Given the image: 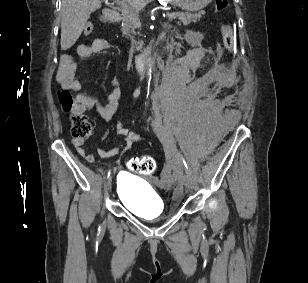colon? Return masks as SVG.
Wrapping results in <instances>:
<instances>
[{
    "mask_svg": "<svg viewBox=\"0 0 308 283\" xmlns=\"http://www.w3.org/2000/svg\"><path fill=\"white\" fill-rule=\"evenodd\" d=\"M228 8V0H216L215 9L217 13H223ZM93 31V25L87 23L84 26L83 33L89 35ZM223 45L225 49L232 53L235 50V32L229 21L223 23ZM58 100L62 109L71 113V134L76 139H86L92 132V125L88 118L79 112H75L77 106L76 98L67 90L58 91ZM129 166L135 172L143 175H149L156 169L155 160L148 155L134 157L129 161Z\"/></svg>",
    "mask_w": 308,
    "mask_h": 283,
    "instance_id": "obj_1",
    "label": "colon"
}]
</instances>
